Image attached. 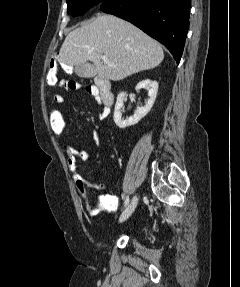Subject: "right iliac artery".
<instances>
[{"instance_id": "82829eb1", "label": "right iliac artery", "mask_w": 240, "mask_h": 287, "mask_svg": "<svg viewBox=\"0 0 240 287\" xmlns=\"http://www.w3.org/2000/svg\"><path fill=\"white\" fill-rule=\"evenodd\" d=\"M129 204V196L125 198L124 206L126 207Z\"/></svg>"}]
</instances>
